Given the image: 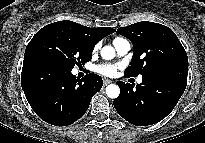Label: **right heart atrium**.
<instances>
[{
  "label": "right heart atrium",
  "instance_id": "1",
  "mask_svg": "<svg viewBox=\"0 0 205 143\" xmlns=\"http://www.w3.org/2000/svg\"><path fill=\"white\" fill-rule=\"evenodd\" d=\"M98 47H99V45H96V46L94 47V51H96V50L98 49Z\"/></svg>",
  "mask_w": 205,
  "mask_h": 143
}]
</instances>
